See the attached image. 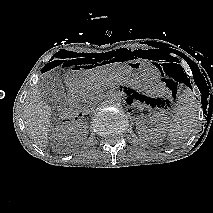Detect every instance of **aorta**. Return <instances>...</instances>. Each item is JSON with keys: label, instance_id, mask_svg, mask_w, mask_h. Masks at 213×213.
Here are the masks:
<instances>
[{"label": "aorta", "instance_id": "1", "mask_svg": "<svg viewBox=\"0 0 213 213\" xmlns=\"http://www.w3.org/2000/svg\"><path fill=\"white\" fill-rule=\"evenodd\" d=\"M122 101H123V99H122V97H121L120 94H118V93H113V94H111V95L109 96L107 102H108V104H109L110 106L120 107L121 104H122Z\"/></svg>", "mask_w": 213, "mask_h": 213}]
</instances>
